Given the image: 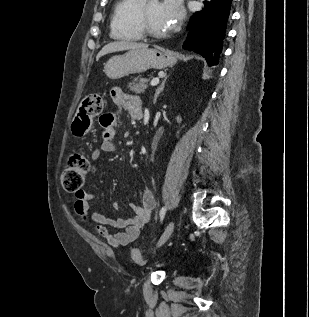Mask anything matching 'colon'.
<instances>
[{
  "mask_svg": "<svg viewBox=\"0 0 309 317\" xmlns=\"http://www.w3.org/2000/svg\"><path fill=\"white\" fill-rule=\"evenodd\" d=\"M104 108V99L99 94H90L80 103L72 123V130L76 136H84L91 129L93 119L101 114ZM90 170L88 159L80 152L71 154L61 174V185L66 192L77 193L81 190L85 176ZM135 262L142 258L138 250H132Z\"/></svg>",
  "mask_w": 309,
  "mask_h": 317,
  "instance_id": "colon-1",
  "label": "colon"
}]
</instances>
